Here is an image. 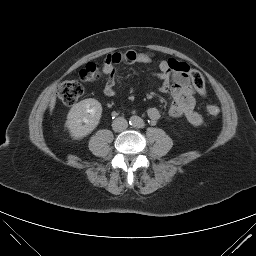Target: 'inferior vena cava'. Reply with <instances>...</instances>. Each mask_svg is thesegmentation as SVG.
<instances>
[{"mask_svg": "<svg viewBox=\"0 0 256 256\" xmlns=\"http://www.w3.org/2000/svg\"><path fill=\"white\" fill-rule=\"evenodd\" d=\"M128 127V122L123 117L116 118L112 123V128L115 132H121L126 130Z\"/></svg>", "mask_w": 256, "mask_h": 256, "instance_id": "1", "label": "inferior vena cava"}]
</instances>
